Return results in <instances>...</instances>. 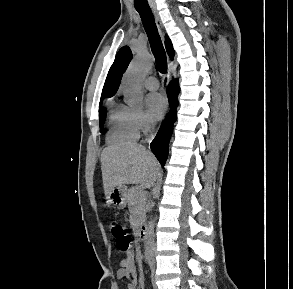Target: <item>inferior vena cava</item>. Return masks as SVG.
I'll return each mask as SVG.
<instances>
[{
  "label": "inferior vena cava",
  "mask_w": 293,
  "mask_h": 289,
  "mask_svg": "<svg viewBox=\"0 0 293 289\" xmlns=\"http://www.w3.org/2000/svg\"><path fill=\"white\" fill-rule=\"evenodd\" d=\"M153 138H154V135H153V134H151V136H150V138H149V141H152V140H153Z\"/></svg>",
  "instance_id": "602c4592"
}]
</instances>
